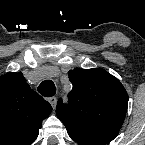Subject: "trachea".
Returning <instances> with one entry per match:
<instances>
[{
	"label": "trachea",
	"mask_w": 145,
	"mask_h": 145,
	"mask_svg": "<svg viewBox=\"0 0 145 145\" xmlns=\"http://www.w3.org/2000/svg\"><path fill=\"white\" fill-rule=\"evenodd\" d=\"M38 92L45 97H52L56 94L55 84L51 80L43 81L37 88Z\"/></svg>",
	"instance_id": "1"
}]
</instances>
